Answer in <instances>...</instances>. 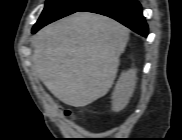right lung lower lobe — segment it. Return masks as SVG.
<instances>
[{
  "instance_id": "98d812e1",
  "label": "right lung lower lobe",
  "mask_w": 182,
  "mask_h": 140,
  "mask_svg": "<svg viewBox=\"0 0 182 140\" xmlns=\"http://www.w3.org/2000/svg\"><path fill=\"white\" fill-rule=\"evenodd\" d=\"M78 11L111 17L144 37L148 35V26L137 0H92ZM38 30L33 29L32 32Z\"/></svg>"
}]
</instances>
